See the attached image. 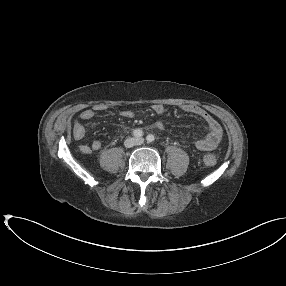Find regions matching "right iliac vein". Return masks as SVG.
Returning a JSON list of instances; mask_svg holds the SVG:
<instances>
[{
  "instance_id": "right-iliac-vein-1",
  "label": "right iliac vein",
  "mask_w": 286,
  "mask_h": 286,
  "mask_svg": "<svg viewBox=\"0 0 286 286\" xmlns=\"http://www.w3.org/2000/svg\"><path fill=\"white\" fill-rule=\"evenodd\" d=\"M136 144V139L134 137H129L124 141V146L126 148H132Z\"/></svg>"
}]
</instances>
